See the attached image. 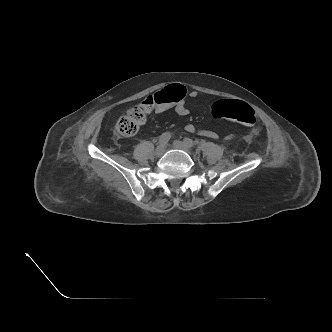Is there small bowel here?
I'll use <instances>...</instances> for the list:
<instances>
[{
    "mask_svg": "<svg viewBox=\"0 0 332 332\" xmlns=\"http://www.w3.org/2000/svg\"><path fill=\"white\" fill-rule=\"evenodd\" d=\"M198 96V92L196 90H192L189 92V97L190 98H196ZM147 113L151 112L152 111V107H146L145 108ZM170 110H174V112L180 116H187L189 114V109L187 108L186 106V103L184 100H181L177 103H174V104H169V105H159L157 106L154 111L156 113H165V112H168ZM185 129L187 132L189 133H193V134H198L200 136H203V137H207V138H210V139H218L219 136L217 133H215L214 131H211V130H206V129H197L193 124H187L185 126ZM256 132H252L249 137H251L253 134H255ZM236 138V135L235 134H230V135H227L224 139L226 141H230V140H233Z\"/></svg>",
    "mask_w": 332,
    "mask_h": 332,
    "instance_id": "c3829d8e",
    "label": "small bowel"
}]
</instances>
